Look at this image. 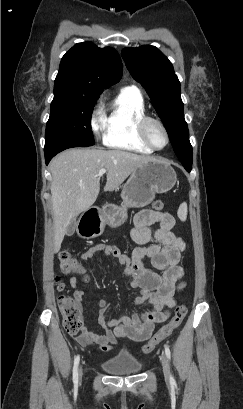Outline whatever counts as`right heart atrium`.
Instances as JSON below:
<instances>
[{
  "mask_svg": "<svg viewBox=\"0 0 243 409\" xmlns=\"http://www.w3.org/2000/svg\"><path fill=\"white\" fill-rule=\"evenodd\" d=\"M90 124L95 134H101L107 125L105 111L102 108L101 100H98L92 110Z\"/></svg>",
  "mask_w": 243,
  "mask_h": 409,
  "instance_id": "d8ad5b80",
  "label": "right heart atrium"
}]
</instances>
